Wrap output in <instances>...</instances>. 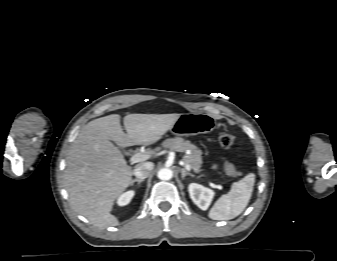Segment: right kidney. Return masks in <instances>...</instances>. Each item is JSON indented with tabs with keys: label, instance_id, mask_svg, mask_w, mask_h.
Here are the masks:
<instances>
[{
	"label": "right kidney",
	"instance_id": "right-kidney-1",
	"mask_svg": "<svg viewBox=\"0 0 337 261\" xmlns=\"http://www.w3.org/2000/svg\"><path fill=\"white\" fill-rule=\"evenodd\" d=\"M133 196H134V191H132V190L123 193L118 198V201H117L118 205H120V206L127 205L131 201V199L133 198Z\"/></svg>",
	"mask_w": 337,
	"mask_h": 261
}]
</instances>
